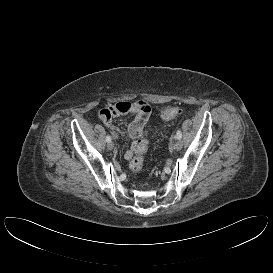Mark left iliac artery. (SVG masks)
Masks as SVG:
<instances>
[{
	"label": "left iliac artery",
	"mask_w": 273,
	"mask_h": 273,
	"mask_svg": "<svg viewBox=\"0 0 273 273\" xmlns=\"http://www.w3.org/2000/svg\"><path fill=\"white\" fill-rule=\"evenodd\" d=\"M176 138L177 139H181L182 138V132L181 130H178L177 133H176Z\"/></svg>",
	"instance_id": "obj_1"
}]
</instances>
